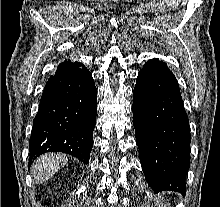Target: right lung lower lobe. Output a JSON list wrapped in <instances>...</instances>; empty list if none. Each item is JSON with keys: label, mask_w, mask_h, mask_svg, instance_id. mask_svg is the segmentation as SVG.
<instances>
[{"label": "right lung lower lobe", "mask_w": 220, "mask_h": 207, "mask_svg": "<svg viewBox=\"0 0 220 207\" xmlns=\"http://www.w3.org/2000/svg\"><path fill=\"white\" fill-rule=\"evenodd\" d=\"M97 90L82 63L65 60L47 81L29 141V164L45 152L89 162L96 124Z\"/></svg>", "instance_id": "98d812e1"}]
</instances>
